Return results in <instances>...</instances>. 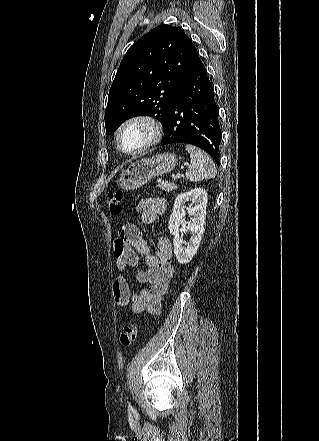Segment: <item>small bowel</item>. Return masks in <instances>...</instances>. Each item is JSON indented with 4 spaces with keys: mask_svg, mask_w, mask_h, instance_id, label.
<instances>
[{
    "mask_svg": "<svg viewBox=\"0 0 319 441\" xmlns=\"http://www.w3.org/2000/svg\"><path fill=\"white\" fill-rule=\"evenodd\" d=\"M166 207L164 198L149 197L138 203L137 210L141 212V221L151 225L166 211ZM113 253L120 272L112 288L117 306L130 305L131 311L135 314L141 312L159 314L162 309L161 298L167 291L174 273L169 262L172 254L169 239L164 236L159 237L157 251L151 253L139 227L134 223H126L119 230V237L113 245ZM140 256L144 257L147 269L139 270L136 277L140 283L148 286L136 293L130 289L125 273L138 266Z\"/></svg>",
    "mask_w": 319,
    "mask_h": 441,
    "instance_id": "c3829d8e",
    "label": "small bowel"
}]
</instances>
